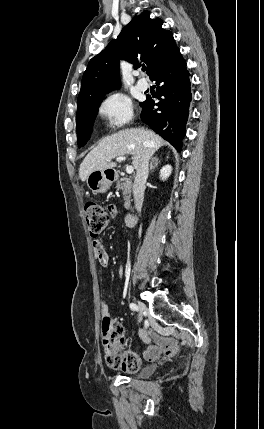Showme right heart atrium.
<instances>
[{"label":"right heart atrium","mask_w":264,"mask_h":429,"mask_svg":"<svg viewBox=\"0 0 264 429\" xmlns=\"http://www.w3.org/2000/svg\"><path fill=\"white\" fill-rule=\"evenodd\" d=\"M98 114L108 130L120 129L133 119L131 100L121 93H111L100 102Z\"/></svg>","instance_id":"1"}]
</instances>
